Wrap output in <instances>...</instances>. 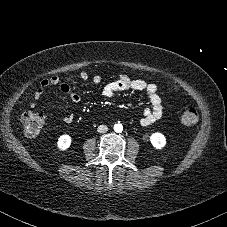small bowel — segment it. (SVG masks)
<instances>
[{
  "instance_id": "obj_1",
  "label": "small bowel",
  "mask_w": 227,
  "mask_h": 227,
  "mask_svg": "<svg viewBox=\"0 0 227 227\" xmlns=\"http://www.w3.org/2000/svg\"><path fill=\"white\" fill-rule=\"evenodd\" d=\"M79 79L81 81H86L88 79V74L86 72H81L79 74ZM92 81L94 84L98 85L101 83L102 79L100 76L96 75L92 78ZM50 86H58L61 93L68 96L71 101L75 103H78L81 100L80 94L75 92L70 84L61 82L57 76H53L40 82L39 87L34 92L33 101L30 104L31 108L37 106L45 90ZM128 91H145L148 95L150 107H145L143 109V116L140 119V124L142 126L154 123L163 115L164 109L162 101L158 94L157 86L153 83H149L142 79L132 80L128 76L120 74L114 81L108 83L103 88V94L106 97H112L118 92ZM62 122L65 124H71L73 122V115L68 114L63 116Z\"/></svg>"
}]
</instances>
